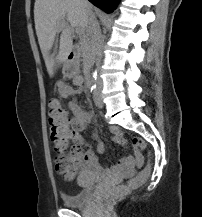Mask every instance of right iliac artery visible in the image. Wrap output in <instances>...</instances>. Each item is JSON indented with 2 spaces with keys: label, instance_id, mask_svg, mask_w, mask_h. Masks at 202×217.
Listing matches in <instances>:
<instances>
[{
  "label": "right iliac artery",
  "instance_id": "right-iliac-artery-1",
  "mask_svg": "<svg viewBox=\"0 0 202 217\" xmlns=\"http://www.w3.org/2000/svg\"><path fill=\"white\" fill-rule=\"evenodd\" d=\"M89 88H90L91 92L94 93L95 90H96V84H95V83H91V84L89 85Z\"/></svg>",
  "mask_w": 202,
  "mask_h": 217
}]
</instances>
